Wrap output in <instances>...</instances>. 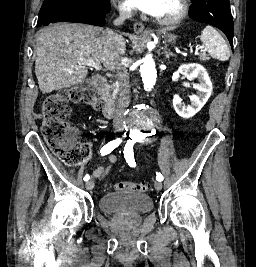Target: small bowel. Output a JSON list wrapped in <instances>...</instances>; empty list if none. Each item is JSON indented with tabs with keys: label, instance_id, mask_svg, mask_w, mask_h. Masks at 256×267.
<instances>
[{
	"label": "small bowel",
	"instance_id": "small-bowel-1",
	"mask_svg": "<svg viewBox=\"0 0 256 267\" xmlns=\"http://www.w3.org/2000/svg\"><path fill=\"white\" fill-rule=\"evenodd\" d=\"M117 162V156L115 154H109L107 157V164L97 167L93 171L94 178L102 181L108 175L111 167Z\"/></svg>",
	"mask_w": 256,
	"mask_h": 267
}]
</instances>
